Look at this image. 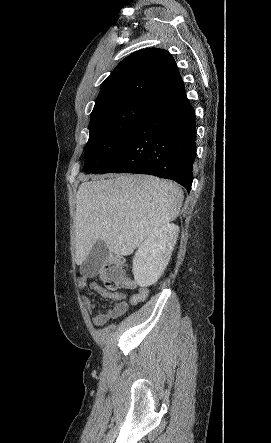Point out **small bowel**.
I'll return each instance as SVG.
<instances>
[{"label": "small bowel", "mask_w": 271, "mask_h": 443, "mask_svg": "<svg viewBox=\"0 0 271 443\" xmlns=\"http://www.w3.org/2000/svg\"><path fill=\"white\" fill-rule=\"evenodd\" d=\"M78 285L83 291L91 290L97 292L102 297L113 301V306L101 309L98 307L95 299L82 296V301L87 311L93 315L92 323L94 325H103L111 319L122 316L128 310V302L126 301V295L123 292H111L94 281H88L86 278H79ZM130 287L132 288L134 285L131 284ZM146 295L147 291L145 289H139V292L132 297L131 303L137 304L141 302L145 299Z\"/></svg>", "instance_id": "obj_1"}]
</instances>
